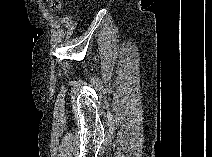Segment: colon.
<instances>
[{
    "instance_id": "colon-1",
    "label": "colon",
    "mask_w": 212,
    "mask_h": 157,
    "mask_svg": "<svg viewBox=\"0 0 212 157\" xmlns=\"http://www.w3.org/2000/svg\"><path fill=\"white\" fill-rule=\"evenodd\" d=\"M51 6L55 9H58L60 7V2L58 1H52Z\"/></svg>"
}]
</instances>
